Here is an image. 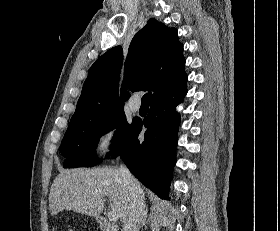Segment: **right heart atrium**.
I'll use <instances>...</instances> for the list:
<instances>
[{
  "label": "right heart atrium",
  "mask_w": 280,
  "mask_h": 231,
  "mask_svg": "<svg viewBox=\"0 0 280 231\" xmlns=\"http://www.w3.org/2000/svg\"><path fill=\"white\" fill-rule=\"evenodd\" d=\"M121 146V128L117 122L106 124L97 137V150L101 158H105Z\"/></svg>",
  "instance_id": "d8ad5b80"
}]
</instances>
